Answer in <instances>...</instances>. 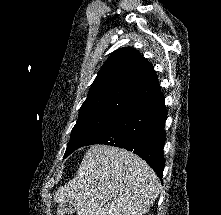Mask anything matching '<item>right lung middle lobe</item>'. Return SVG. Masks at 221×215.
<instances>
[{"instance_id": "obj_1", "label": "right lung middle lobe", "mask_w": 221, "mask_h": 215, "mask_svg": "<svg viewBox=\"0 0 221 215\" xmlns=\"http://www.w3.org/2000/svg\"><path fill=\"white\" fill-rule=\"evenodd\" d=\"M120 116L103 112L79 113L78 121L71 131L64 158L76 149L85 146L93 138L114 124Z\"/></svg>"}]
</instances>
